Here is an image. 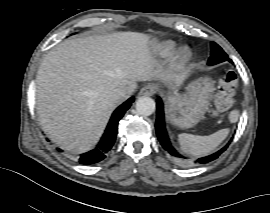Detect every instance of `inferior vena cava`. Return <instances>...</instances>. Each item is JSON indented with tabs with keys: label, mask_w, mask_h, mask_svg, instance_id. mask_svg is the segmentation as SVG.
<instances>
[{
	"label": "inferior vena cava",
	"mask_w": 270,
	"mask_h": 213,
	"mask_svg": "<svg viewBox=\"0 0 270 213\" xmlns=\"http://www.w3.org/2000/svg\"><path fill=\"white\" fill-rule=\"evenodd\" d=\"M126 90L122 88H115L111 91L110 96L113 100L120 101L125 99L126 97Z\"/></svg>",
	"instance_id": "obj_1"
}]
</instances>
